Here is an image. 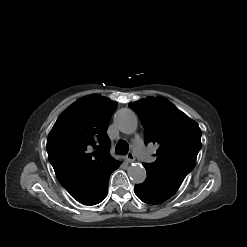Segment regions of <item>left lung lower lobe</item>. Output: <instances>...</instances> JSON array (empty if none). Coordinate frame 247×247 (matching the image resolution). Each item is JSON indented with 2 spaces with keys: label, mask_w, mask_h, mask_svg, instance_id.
<instances>
[{
  "label": "left lung lower lobe",
  "mask_w": 247,
  "mask_h": 247,
  "mask_svg": "<svg viewBox=\"0 0 247 247\" xmlns=\"http://www.w3.org/2000/svg\"><path fill=\"white\" fill-rule=\"evenodd\" d=\"M145 169L147 171L146 180L134 187L135 194L141 201L148 204H160L175 194L176 191L169 188L160 177L147 168Z\"/></svg>",
  "instance_id": "obj_1"
}]
</instances>
